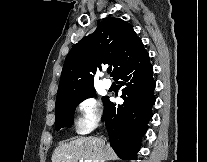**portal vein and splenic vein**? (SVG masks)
<instances>
[{
    "instance_id": "portal-vein-and-splenic-vein-1",
    "label": "portal vein and splenic vein",
    "mask_w": 207,
    "mask_h": 162,
    "mask_svg": "<svg viewBox=\"0 0 207 162\" xmlns=\"http://www.w3.org/2000/svg\"><path fill=\"white\" fill-rule=\"evenodd\" d=\"M70 162V161H68ZM79 162H92L91 160H80ZM94 162H98V161H94Z\"/></svg>"
}]
</instances>
